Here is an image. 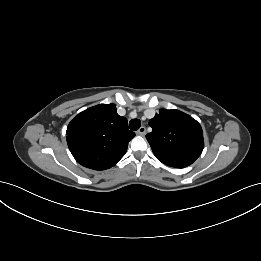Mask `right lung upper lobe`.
<instances>
[{"label": "right lung upper lobe", "instance_id": "cb5924a9", "mask_svg": "<svg viewBox=\"0 0 261 261\" xmlns=\"http://www.w3.org/2000/svg\"><path fill=\"white\" fill-rule=\"evenodd\" d=\"M68 147L84 167L105 170L116 165L126 153L135 133L115 104H99L79 113L66 131Z\"/></svg>", "mask_w": 261, "mask_h": 261}]
</instances>
